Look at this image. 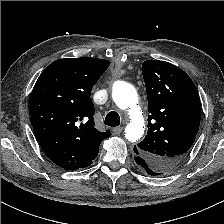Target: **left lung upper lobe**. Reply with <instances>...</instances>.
<instances>
[{
    "label": "left lung upper lobe",
    "instance_id": "obj_1",
    "mask_svg": "<svg viewBox=\"0 0 224 224\" xmlns=\"http://www.w3.org/2000/svg\"><path fill=\"white\" fill-rule=\"evenodd\" d=\"M149 113L148 132L134 146L154 171L170 173L187 156L201 119V103L191 78L177 66L157 60L142 64Z\"/></svg>",
    "mask_w": 224,
    "mask_h": 224
}]
</instances>
